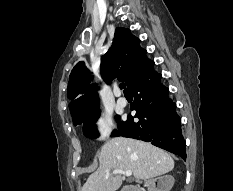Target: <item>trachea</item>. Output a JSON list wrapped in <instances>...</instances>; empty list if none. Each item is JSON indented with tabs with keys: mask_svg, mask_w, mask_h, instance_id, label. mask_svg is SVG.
Segmentation results:
<instances>
[{
	"mask_svg": "<svg viewBox=\"0 0 233 191\" xmlns=\"http://www.w3.org/2000/svg\"><path fill=\"white\" fill-rule=\"evenodd\" d=\"M119 88H120V89H123L124 93H128V90L126 89V86H125L124 83H121V84L119 85Z\"/></svg>",
	"mask_w": 233,
	"mask_h": 191,
	"instance_id": "1",
	"label": "trachea"
}]
</instances>
